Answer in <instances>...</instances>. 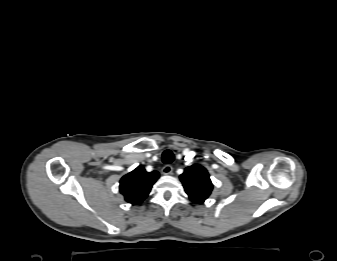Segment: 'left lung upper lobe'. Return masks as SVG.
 <instances>
[{"label": "left lung upper lobe", "instance_id": "obj_1", "mask_svg": "<svg viewBox=\"0 0 337 261\" xmlns=\"http://www.w3.org/2000/svg\"><path fill=\"white\" fill-rule=\"evenodd\" d=\"M180 180L190 200L197 204L203 203L213 189L207 170L198 164L187 167Z\"/></svg>", "mask_w": 337, "mask_h": 261}]
</instances>
